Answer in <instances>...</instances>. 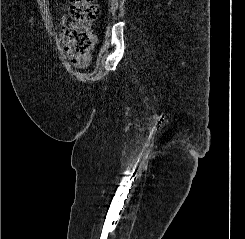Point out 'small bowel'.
<instances>
[{
    "mask_svg": "<svg viewBox=\"0 0 245 239\" xmlns=\"http://www.w3.org/2000/svg\"><path fill=\"white\" fill-rule=\"evenodd\" d=\"M68 23V18L67 16H62L60 20V25H61V35L64 36V31L67 27ZM67 52L69 53V59L72 63V65L76 68H86L90 65L92 62V56H76L75 54H72L70 50L67 49Z\"/></svg>",
    "mask_w": 245,
    "mask_h": 239,
    "instance_id": "obj_1",
    "label": "small bowel"
}]
</instances>
